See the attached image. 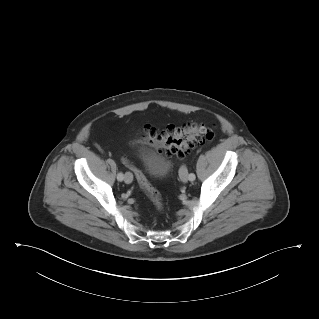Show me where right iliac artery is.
Segmentation results:
<instances>
[{"mask_svg":"<svg viewBox=\"0 0 319 319\" xmlns=\"http://www.w3.org/2000/svg\"><path fill=\"white\" fill-rule=\"evenodd\" d=\"M117 179L119 180V181H122L123 179H124V175H123V173H118V175H117Z\"/></svg>","mask_w":319,"mask_h":319,"instance_id":"82829eb1","label":"right iliac artery"}]
</instances>
